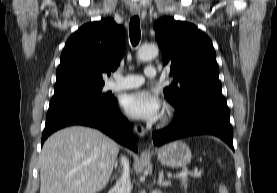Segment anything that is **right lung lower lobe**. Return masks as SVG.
Masks as SVG:
<instances>
[{
  "label": "right lung lower lobe",
  "instance_id": "98d812e1",
  "mask_svg": "<svg viewBox=\"0 0 277 193\" xmlns=\"http://www.w3.org/2000/svg\"><path fill=\"white\" fill-rule=\"evenodd\" d=\"M70 125L97 128L120 144L137 151L131 125L119 112L114 97L102 100L81 94H54L47 112L41 145L50 134Z\"/></svg>",
  "mask_w": 277,
  "mask_h": 193
}]
</instances>
